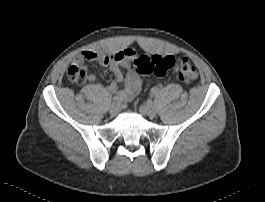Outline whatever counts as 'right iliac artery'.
Listing matches in <instances>:
<instances>
[{"instance_id":"obj_1","label":"right iliac artery","mask_w":265,"mask_h":202,"mask_svg":"<svg viewBox=\"0 0 265 202\" xmlns=\"http://www.w3.org/2000/svg\"><path fill=\"white\" fill-rule=\"evenodd\" d=\"M122 102V98L120 96H114L112 99L113 104H119Z\"/></svg>"}]
</instances>
